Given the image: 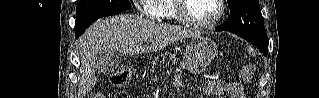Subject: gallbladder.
<instances>
[{"instance_id":"1","label":"gallbladder","mask_w":319,"mask_h":98,"mask_svg":"<svg viewBox=\"0 0 319 98\" xmlns=\"http://www.w3.org/2000/svg\"><path fill=\"white\" fill-rule=\"evenodd\" d=\"M93 63L98 73L108 74L120 65L121 55L116 51H101L95 56Z\"/></svg>"}]
</instances>
